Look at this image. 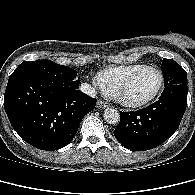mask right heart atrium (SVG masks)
Masks as SVG:
<instances>
[{
  "label": "right heart atrium",
  "instance_id": "1",
  "mask_svg": "<svg viewBox=\"0 0 195 195\" xmlns=\"http://www.w3.org/2000/svg\"><path fill=\"white\" fill-rule=\"evenodd\" d=\"M93 86L96 87V88H99L100 90H103L105 91L101 81L99 80L98 77H96L94 80H93ZM106 92V91H105Z\"/></svg>",
  "mask_w": 195,
  "mask_h": 195
}]
</instances>
